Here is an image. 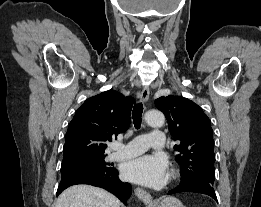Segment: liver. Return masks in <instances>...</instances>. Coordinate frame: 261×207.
I'll return each mask as SVG.
<instances>
[{
  "instance_id": "1",
  "label": "liver",
  "mask_w": 261,
  "mask_h": 207,
  "mask_svg": "<svg viewBox=\"0 0 261 207\" xmlns=\"http://www.w3.org/2000/svg\"><path fill=\"white\" fill-rule=\"evenodd\" d=\"M54 207H121L113 194L90 185H74L64 190Z\"/></svg>"
}]
</instances>
